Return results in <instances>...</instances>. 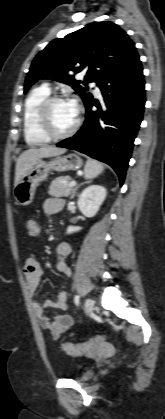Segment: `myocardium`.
<instances>
[{
  "instance_id": "f54148a6",
  "label": "myocardium",
  "mask_w": 165,
  "mask_h": 419,
  "mask_svg": "<svg viewBox=\"0 0 165 419\" xmlns=\"http://www.w3.org/2000/svg\"><path fill=\"white\" fill-rule=\"evenodd\" d=\"M69 101L68 98L61 95H50L45 98L39 105L37 110V122L42 133L50 140H62L71 137L78 130L81 123V116L78 113L74 125L66 132L57 133L53 130L50 110L57 102Z\"/></svg>"
}]
</instances>
